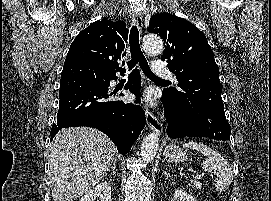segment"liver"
Instances as JSON below:
<instances>
[{"instance_id":"liver-1","label":"liver","mask_w":271,"mask_h":201,"mask_svg":"<svg viewBox=\"0 0 271 201\" xmlns=\"http://www.w3.org/2000/svg\"><path fill=\"white\" fill-rule=\"evenodd\" d=\"M48 182L54 201H74L92 189L116 160V147L89 127L60 130L50 144Z\"/></svg>"}]
</instances>
